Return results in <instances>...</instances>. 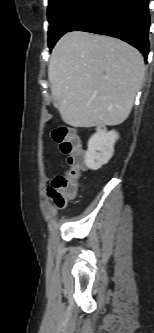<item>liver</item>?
I'll return each instance as SVG.
<instances>
[{
    "label": "liver",
    "mask_w": 154,
    "mask_h": 333,
    "mask_svg": "<svg viewBox=\"0 0 154 333\" xmlns=\"http://www.w3.org/2000/svg\"><path fill=\"white\" fill-rule=\"evenodd\" d=\"M145 73L141 53L119 39L68 32L48 69L62 120L73 127L115 126L129 116Z\"/></svg>",
    "instance_id": "1"
}]
</instances>
